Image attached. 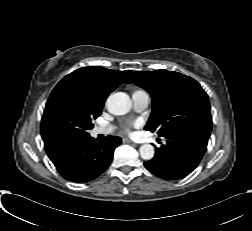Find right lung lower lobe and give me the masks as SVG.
<instances>
[{
    "label": "right lung lower lobe",
    "mask_w": 252,
    "mask_h": 231,
    "mask_svg": "<svg viewBox=\"0 0 252 231\" xmlns=\"http://www.w3.org/2000/svg\"><path fill=\"white\" fill-rule=\"evenodd\" d=\"M120 144L121 139L117 136H108L106 141L97 143L87 135L65 143L51 161L65 179L85 183L107 169Z\"/></svg>",
    "instance_id": "1"
}]
</instances>
